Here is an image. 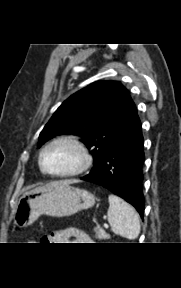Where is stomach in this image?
Returning <instances> with one entry per match:
<instances>
[{
  "instance_id": "1",
  "label": "stomach",
  "mask_w": 181,
  "mask_h": 288,
  "mask_svg": "<svg viewBox=\"0 0 181 288\" xmlns=\"http://www.w3.org/2000/svg\"><path fill=\"white\" fill-rule=\"evenodd\" d=\"M94 204L95 196L89 191L66 181L51 182L20 197L14 213V225L28 227L43 214L52 217L71 216Z\"/></svg>"
}]
</instances>
